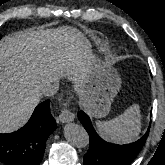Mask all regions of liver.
Here are the masks:
<instances>
[{
  "mask_svg": "<svg viewBox=\"0 0 165 165\" xmlns=\"http://www.w3.org/2000/svg\"><path fill=\"white\" fill-rule=\"evenodd\" d=\"M64 46L70 48L62 54ZM92 61L75 29L8 36L0 44V132L15 131L28 121L45 82L73 76L81 91Z\"/></svg>",
  "mask_w": 165,
  "mask_h": 165,
  "instance_id": "obj_1",
  "label": "liver"
}]
</instances>
